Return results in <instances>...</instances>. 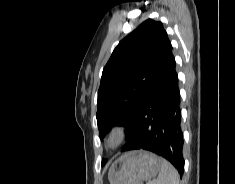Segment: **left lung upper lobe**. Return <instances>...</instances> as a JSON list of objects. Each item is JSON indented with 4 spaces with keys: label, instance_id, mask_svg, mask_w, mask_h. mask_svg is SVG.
<instances>
[{
    "label": "left lung upper lobe",
    "instance_id": "5c2ea615",
    "mask_svg": "<svg viewBox=\"0 0 235 184\" xmlns=\"http://www.w3.org/2000/svg\"><path fill=\"white\" fill-rule=\"evenodd\" d=\"M167 40L162 23L147 19L116 46L98 90L96 118L101 139L115 123L126 126V140L131 137Z\"/></svg>",
    "mask_w": 235,
    "mask_h": 184
}]
</instances>
